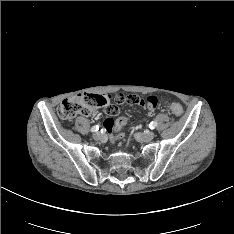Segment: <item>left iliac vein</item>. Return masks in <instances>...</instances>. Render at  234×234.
Here are the masks:
<instances>
[{"instance_id":"4c4485c4","label":"left iliac vein","mask_w":234,"mask_h":234,"mask_svg":"<svg viewBox=\"0 0 234 234\" xmlns=\"http://www.w3.org/2000/svg\"><path fill=\"white\" fill-rule=\"evenodd\" d=\"M154 137H155V133L153 131L135 134V138L140 142H150Z\"/></svg>"}]
</instances>
